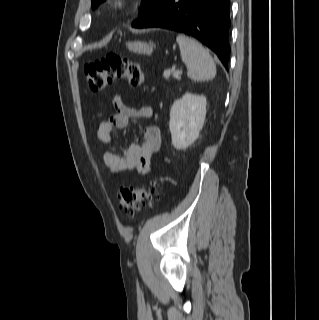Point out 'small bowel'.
<instances>
[{
  "label": "small bowel",
  "mask_w": 319,
  "mask_h": 320,
  "mask_svg": "<svg viewBox=\"0 0 319 320\" xmlns=\"http://www.w3.org/2000/svg\"><path fill=\"white\" fill-rule=\"evenodd\" d=\"M115 113L97 127L98 139L108 145L110 150L102 153V162L108 168L105 179L112 175L136 169L141 174L150 171L151 160L161 145V131L158 126H147L142 144H132L127 150L119 152L115 133L124 129L130 119H148L153 111L150 106L131 107L119 95L114 96Z\"/></svg>",
  "instance_id": "1"
}]
</instances>
